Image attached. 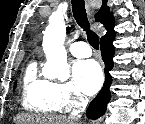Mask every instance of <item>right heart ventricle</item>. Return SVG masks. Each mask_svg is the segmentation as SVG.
<instances>
[{
    "mask_svg": "<svg viewBox=\"0 0 145 124\" xmlns=\"http://www.w3.org/2000/svg\"><path fill=\"white\" fill-rule=\"evenodd\" d=\"M21 104L26 110L44 114L59 111L52 98V82L38 76L34 62L23 74Z\"/></svg>",
    "mask_w": 145,
    "mask_h": 124,
    "instance_id": "1",
    "label": "right heart ventricle"
}]
</instances>
